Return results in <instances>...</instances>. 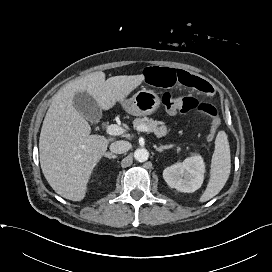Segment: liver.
<instances>
[{"label":"liver","instance_id":"6515ba94","mask_svg":"<svg viewBox=\"0 0 272 272\" xmlns=\"http://www.w3.org/2000/svg\"><path fill=\"white\" fill-rule=\"evenodd\" d=\"M143 80V75L105 80V73L97 71L68 83L54 96L43 121L39 152L42 172L57 194L72 201L83 200L92 171L112 141L90 135L89 123L73 105L75 94L87 92L100 109L109 110Z\"/></svg>","mask_w":272,"mask_h":272}]
</instances>
